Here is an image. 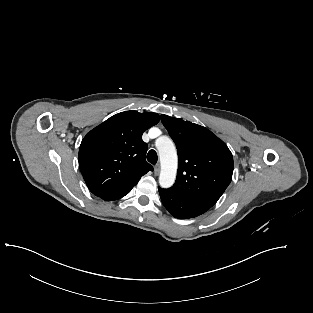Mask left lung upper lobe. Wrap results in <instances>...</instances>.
<instances>
[{
  "label": "left lung upper lobe",
  "instance_id": "obj_1",
  "mask_svg": "<svg viewBox=\"0 0 313 313\" xmlns=\"http://www.w3.org/2000/svg\"><path fill=\"white\" fill-rule=\"evenodd\" d=\"M176 144L178 172L167 189L190 202L212 207L231 182L234 162L227 145L203 126L161 115Z\"/></svg>",
  "mask_w": 313,
  "mask_h": 313
}]
</instances>
